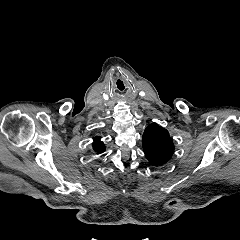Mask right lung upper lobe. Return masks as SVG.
<instances>
[{"instance_id":"cb5924a9","label":"right lung upper lobe","mask_w":240,"mask_h":240,"mask_svg":"<svg viewBox=\"0 0 240 240\" xmlns=\"http://www.w3.org/2000/svg\"><path fill=\"white\" fill-rule=\"evenodd\" d=\"M100 139H101L100 137H94V142L92 144L93 150L98 154L103 153L105 151V145Z\"/></svg>"}]
</instances>
